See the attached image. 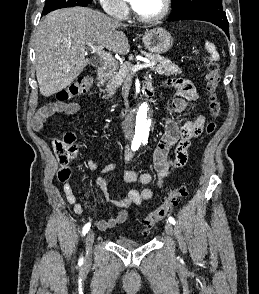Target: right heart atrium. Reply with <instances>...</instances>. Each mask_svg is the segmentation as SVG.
<instances>
[{
  "label": "right heart atrium",
  "mask_w": 259,
  "mask_h": 294,
  "mask_svg": "<svg viewBox=\"0 0 259 294\" xmlns=\"http://www.w3.org/2000/svg\"><path fill=\"white\" fill-rule=\"evenodd\" d=\"M103 9L109 15L124 19L129 14V7L125 0H99Z\"/></svg>",
  "instance_id": "right-heart-atrium-1"
}]
</instances>
